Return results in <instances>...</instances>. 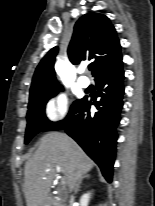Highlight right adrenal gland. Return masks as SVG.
I'll use <instances>...</instances> for the list:
<instances>
[{
    "instance_id": "right-adrenal-gland-1",
    "label": "right adrenal gland",
    "mask_w": 155,
    "mask_h": 206,
    "mask_svg": "<svg viewBox=\"0 0 155 206\" xmlns=\"http://www.w3.org/2000/svg\"><path fill=\"white\" fill-rule=\"evenodd\" d=\"M89 177H90V175L85 174V175L78 181V183H77V185H76V188H75V190H74V194H77V193H78L79 188H80V185L82 184L83 179L89 178Z\"/></svg>"
}]
</instances>
